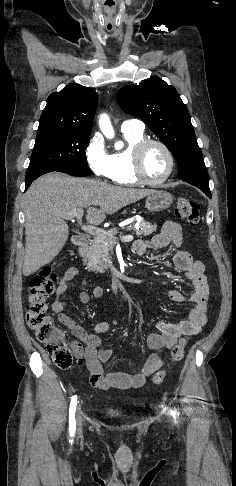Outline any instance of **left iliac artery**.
I'll use <instances>...</instances> for the list:
<instances>
[{"label":"left iliac artery","instance_id":"left-iliac-artery-1","mask_svg":"<svg viewBox=\"0 0 236 486\" xmlns=\"http://www.w3.org/2000/svg\"><path fill=\"white\" fill-rule=\"evenodd\" d=\"M171 414L174 417V419L176 420V413L173 410H171Z\"/></svg>","mask_w":236,"mask_h":486}]
</instances>
